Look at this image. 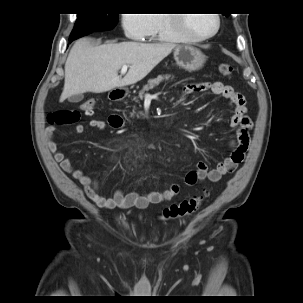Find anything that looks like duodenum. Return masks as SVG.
<instances>
[{"mask_svg":"<svg viewBox=\"0 0 303 303\" xmlns=\"http://www.w3.org/2000/svg\"><path fill=\"white\" fill-rule=\"evenodd\" d=\"M124 97V93L121 92V91H113L110 95V98L112 100H115V101H118V100H121L122 98ZM116 121L118 123L119 126L122 125V121H121V118L120 117H116Z\"/></svg>","mask_w":303,"mask_h":303,"instance_id":"duodenum-1","label":"duodenum"}]
</instances>
